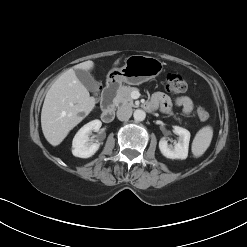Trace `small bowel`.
Wrapping results in <instances>:
<instances>
[{
  "label": "small bowel",
  "mask_w": 247,
  "mask_h": 247,
  "mask_svg": "<svg viewBox=\"0 0 247 247\" xmlns=\"http://www.w3.org/2000/svg\"><path fill=\"white\" fill-rule=\"evenodd\" d=\"M181 107L183 112L189 115L193 110V102L188 96H179L174 101L166 94L158 92L151 99V106H160L163 111H168L172 105Z\"/></svg>",
  "instance_id": "1"
}]
</instances>
